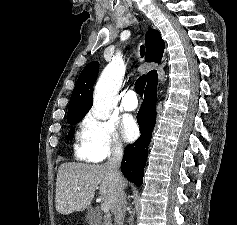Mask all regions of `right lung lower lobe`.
Here are the masks:
<instances>
[{
	"instance_id": "obj_1",
	"label": "right lung lower lobe",
	"mask_w": 237,
	"mask_h": 225,
	"mask_svg": "<svg viewBox=\"0 0 237 225\" xmlns=\"http://www.w3.org/2000/svg\"><path fill=\"white\" fill-rule=\"evenodd\" d=\"M157 83L149 84L144 91V100L137 114L141 136L133 144L125 148L121 171L123 175L140 186L143 183V173L148 155V146L156 122Z\"/></svg>"
}]
</instances>
